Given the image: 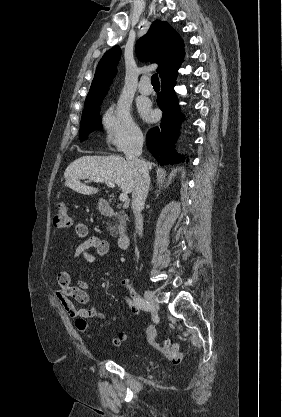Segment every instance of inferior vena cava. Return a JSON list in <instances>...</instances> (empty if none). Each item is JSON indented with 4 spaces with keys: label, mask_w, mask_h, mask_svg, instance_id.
Wrapping results in <instances>:
<instances>
[{
    "label": "inferior vena cava",
    "mask_w": 282,
    "mask_h": 417,
    "mask_svg": "<svg viewBox=\"0 0 282 417\" xmlns=\"http://www.w3.org/2000/svg\"><path fill=\"white\" fill-rule=\"evenodd\" d=\"M143 144L144 136L141 130H132V132H130L128 144H126V148L123 150L125 158L135 166L131 206L135 217L136 233H138L140 237H142L143 233V217L141 211L145 204L150 182L148 166L145 160H140L139 158L142 154Z\"/></svg>",
    "instance_id": "inferior-vena-cava-1"
}]
</instances>
